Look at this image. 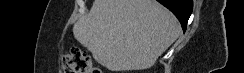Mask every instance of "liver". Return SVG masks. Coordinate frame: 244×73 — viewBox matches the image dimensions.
<instances>
[{
  "label": "liver",
  "mask_w": 244,
  "mask_h": 73,
  "mask_svg": "<svg viewBox=\"0 0 244 73\" xmlns=\"http://www.w3.org/2000/svg\"><path fill=\"white\" fill-rule=\"evenodd\" d=\"M177 18L156 0H95L73 34L111 71L153 66L179 37Z\"/></svg>",
  "instance_id": "1"
}]
</instances>
